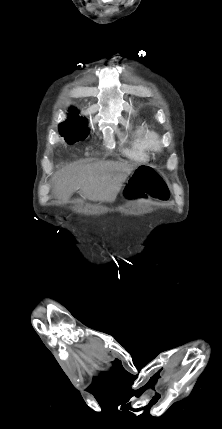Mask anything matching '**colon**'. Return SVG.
I'll return each instance as SVG.
<instances>
[{
  "instance_id": "colon-1",
  "label": "colon",
  "mask_w": 222,
  "mask_h": 429,
  "mask_svg": "<svg viewBox=\"0 0 222 429\" xmlns=\"http://www.w3.org/2000/svg\"><path fill=\"white\" fill-rule=\"evenodd\" d=\"M125 195L130 199L167 200L169 189L164 178L155 168L149 165H141L130 177L125 187Z\"/></svg>"
}]
</instances>
